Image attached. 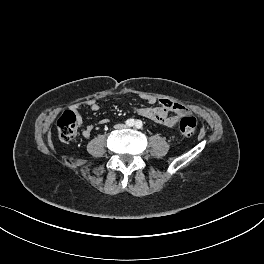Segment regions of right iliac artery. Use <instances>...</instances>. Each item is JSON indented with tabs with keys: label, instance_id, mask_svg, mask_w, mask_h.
<instances>
[{
	"label": "right iliac artery",
	"instance_id": "82829eb1",
	"mask_svg": "<svg viewBox=\"0 0 264 264\" xmlns=\"http://www.w3.org/2000/svg\"><path fill=\"white\" fill-rule=\"evenodd\" d=\"M126 125L129 126V127H132L135 125V120L134 119H128L126 121Z\"/></svg>",
	"mask_w": 264,
	"mask_h": 264
}]
</instances>
